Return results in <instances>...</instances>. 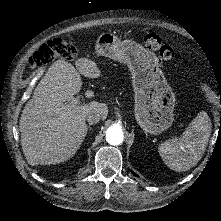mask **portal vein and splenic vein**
<instances>
[{
	"instance_id": "18ae733b",
	"label": "portal vein and splenic vein",
	"mask_w": 221,
	"mask_h": 221,
	"mask_svg": "<svg viewBox=\"0 0 221 221\" xmlns=\"http://www.w3.org/2000/svg\"><path fill=\"white\" fill-rule=\"evenodd\" d=\"M75 98H78V99H79V97H75ZM172 137H173L174 139H177V138L179 137V134H178L177 132H174V133L172 134Z\"/></svg>"
}]
</instances>
